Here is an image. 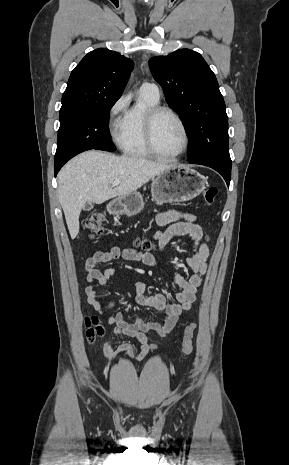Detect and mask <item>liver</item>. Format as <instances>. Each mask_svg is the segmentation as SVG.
<instances>
[{
  "mask_svg": "<svg viewBox=\"0 0 289 465\" xmlns=\"http://www.w3.org/2000/svg\"><path fill=\"white\" fill-rule=\"evenodd\" d=\"M171 164L140 157L87 151L70 160L58 174V198L72 239L79 233V216L86 202L101 204L135 192ZM120 184L112 188V183Z\"/></svg>",
  "mask_w": 289,
  "mask_h": 465,
  "instance_id": "1",
  "label": "liver"
}]
</instances>
